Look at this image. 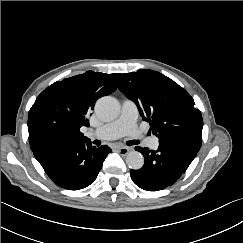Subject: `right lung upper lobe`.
<instances>
[{
    "mask_svg": "<svg viewBox=\"0 0 243 243\" xmlns=\"http://www.w3.org/2000/svg\"><path fill=\"white\" fill-rule=\"evenodd\" d=\"M121 74L87 71L55 82L36 99L28 116L29 142L57 138L67 142H86L80 132L89 126L88 116L98 98L117 89Z\"/></svg>",
    "mask_w": 243,
    "mask_h": 243,
    "instance_id": "1",
    "label": "right lung upper lobe"
}]
</instances>
